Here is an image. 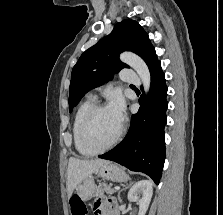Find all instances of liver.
I'll return each mask as SVG.
<instances>
[{"label": "liver", "mask_w": 223, "mask_h": 215, "mask_svg": "<svg viewBox=\"0 0 223 215\" xmlns=\"http://www.w3.org/2000/svg\"><path fill=\"white\" fill-rule=\"evenodd\" d=\"M104 163H108L107 159H77V157H69L67 169L69 199L78 183L89 177L91 173H95Z\"/></svg>", "instance_id": "liver-1"}]
</instances>
